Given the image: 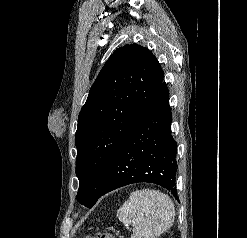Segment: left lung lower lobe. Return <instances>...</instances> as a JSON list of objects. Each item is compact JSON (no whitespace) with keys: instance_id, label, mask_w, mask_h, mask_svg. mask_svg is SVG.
Instances as JSON below:
<instances>
[{"instance_id":"left-lung-lower-lobe-1","label":"left lung lower lobe","mask_w":247,"mask_h":238,"mask_svg":"<svg viewBox=\"0 0 247 238\" xmlns=\"http://www.w3.org/2000/svg\"><path fill=\"white\" fill-rule=\"evenodd\" d=\"M171 121L169 91L162 81L151 104L114 156L98 198L137 182L158 184L177 198V143L171 135Z\"/></svg>"}]
</instances>
